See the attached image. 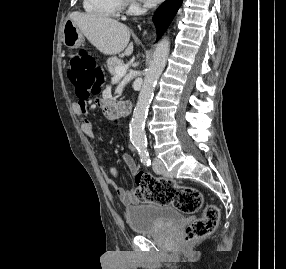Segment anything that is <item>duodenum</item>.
<instances>
[{"label": "duodenum", "instance_id": "obj_1", "mask_svg": "<svg viewBox=\"0 0 286 269\" xmlns=\"http://www.w3.org/2000/svg\"><path fill=\"white\" fill-rule=\"evenodd\" d=\"M106 108L110 111H116L121 115H126L130 112L131 104L129 102H111Z\"/></svg>", "mask_w": 286, "mask_h": 269}]
</instances>
